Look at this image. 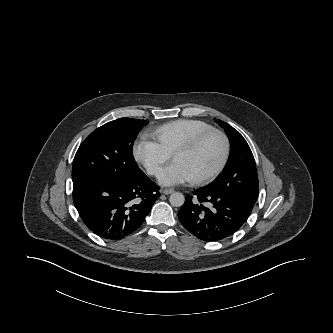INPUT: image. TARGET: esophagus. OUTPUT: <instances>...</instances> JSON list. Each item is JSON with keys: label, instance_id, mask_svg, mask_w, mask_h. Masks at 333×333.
<instances>
[{"label": "esophagus", "instance_id": "1", "mask_svg": "<svg viewBox=\"0 0 333 333\" xmlns=\"http://www.w3.org/2000/svg\"><path fill=\"white\" fill-rule=\"evenodd\" d=\"M173 192H174V190L171 189V188H165V189L162 190V193L165 194V195H169Z\"/></svg>", "mask_w": 333, "mask_h": 333}]
</instances>
